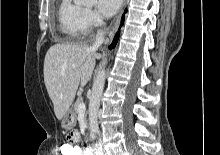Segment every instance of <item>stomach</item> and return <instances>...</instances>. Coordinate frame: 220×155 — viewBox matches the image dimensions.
Instances as JSON below:
<instances>
[{
  "instance_id": "stomach-1",
  "label": "stomach",
  "mask_w": 220,
  "mask_h": 155,
  "mask_svg": "<svg viewBox=\"0 0 220 155\" xmlns=\"http://www.w3.org/2000/svg\"><path fill=\"white\" fill-rule=\"evenodd\" d=\"M61 126L65 130H70L75 126V114L72 111L66 112L62 120Z\"/></svg>"
}]
</instances>
